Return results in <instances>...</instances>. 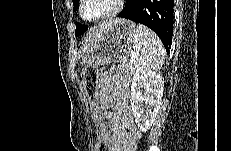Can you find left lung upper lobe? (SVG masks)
<instances>
[{
    "label": "left lung upper lobe",
    "instance_id": "obj_1",
    "mask_svg": "<svg viewBox=\"0 0 231 151\" xmlns=\"http://www.w3.org/2000/svg\"><path fill=\"white\" fill-rule=\"evenodd\" d=\"M73 2V10L76 11L79 7V0H72ZM135 2V0H126L125 3V7H130L132 6V4ZM88 29V26L82 25L80 23L76 24V31H75V35L79 36L81 34H83L86 30Z\"/></svg>",
    "mask_w": 231,
    "mask_h": 151
}]
</instances>
